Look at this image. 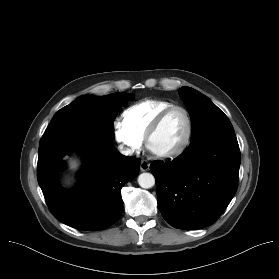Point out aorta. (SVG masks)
<instances>
[{
	"mask_svg": "<svg viewBox=\"0 0 279 279\" xmlns=\"http://www.w3.org/2000/svg\"><path fill=\"white\" fill-rule=\"evenodd\" d=\"M138 184L144 189H149L155 185V178L151 173H142L138 177Z\"/></svg>",
	"mask_w": 279,
	"mask_h": 279,
	"instance_id": "obj_1",
	"label": "aorta"
}]
</instances>
